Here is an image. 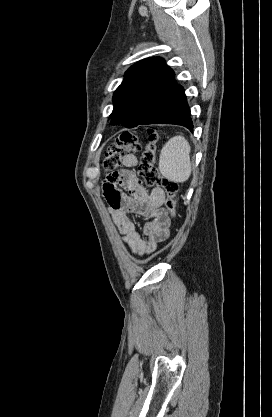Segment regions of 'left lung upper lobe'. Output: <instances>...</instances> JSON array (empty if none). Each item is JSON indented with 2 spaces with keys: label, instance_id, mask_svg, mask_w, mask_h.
Here are the masks:
<instances>
[{
  "label": "left lung upper lobe",
  "instance_id": "left-lung-upper-lobe-1",
  "mask_svg": "<svg viewBox=\"0 0 272 417\" xmlns=\"http://www.w3.org/2000/svg\"><path fill=\"white\" fill-rule=\"evenodd\" d=\"M174 75L160 57L132 65L113 95L111 124H122L127 128L141 125L177 85Z\"/></svg>",
  "mask_w": 272,
  "mask_h": 417
}]
</instances>
